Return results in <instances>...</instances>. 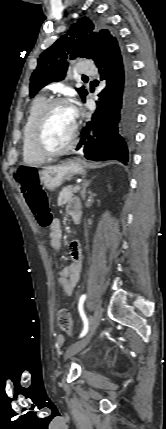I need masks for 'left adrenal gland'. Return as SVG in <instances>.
Masks as SVG:
<instances>
[{"label": "left adrenal gland", "mask_w": 166, "mask_h": 429, "mask_svg": "<svg viewBox=\"0 0 166 429\" xmlns=\"http://www.w3.org/2000/svg\"><path fill=\"white\" fill-rule=\"evenodd\" d=\"M90 180H83V183H82V190H81V196H82V199L83 200H85V197H86V188L90 185Z\"/></svg>", "instance_id": "obj_1"}]
</instances>
